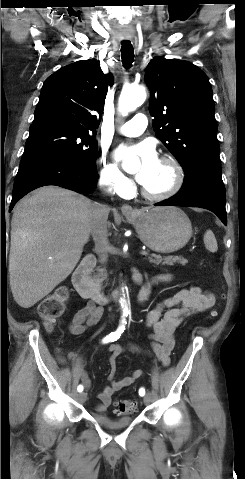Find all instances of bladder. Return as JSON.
Returning <instances> with one entry per match:
<instances>
[{"label":"bladder","mask_w":245,"mask_h":479,"mask_svg":"<svg viewBox=\"0 0 245 479\" xmlns=\"http://www.w3.org/2000/svg\"><path fill=\"white\" fill-rule=\"evenodd\" d=\"M91 417L96 423L108 429H121L130 425L133 421L131 416L113 418L108 415L93 414Z\"/></svg>","instance_id":"obj_1"}]
</instances>
